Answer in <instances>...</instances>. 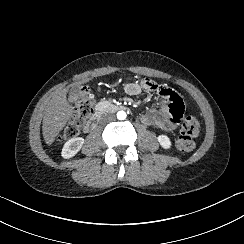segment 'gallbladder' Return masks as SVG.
Masks as SVG:
<instances>
[{
	"mask_svg": "<svg viewBox=\"0 0 244 244\" xmlns=\"http://www.w3.org/2000/svg\"><path fill=\"white\" fill-rule=\"evenodd\" d=\"M70 96L74 97V102H77L81 99H86L88 97V94L80 90L79 87H72L70 90Z\"/></svg>",
	"mask_w": 244,
	"mask_h": 244,
	"instance_id": "obj_1",
	"label": "gallbladder"
}]
</instances>
